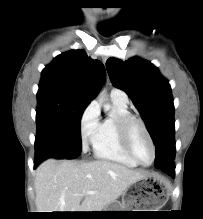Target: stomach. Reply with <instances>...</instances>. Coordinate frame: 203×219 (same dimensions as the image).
<instances>
[{
  "mask_svg": "<svg viewBox=\"0 0 203 219\" xmlns=\"http://www.w3.org/2000/svg\"><path fill=\"white\" fill-rule=\"evenodd\" d=\"M168 196L166 183L156 176L148 174L129 186V189L123 194L122 202H112L102 211H158L166 203ZM101 215L113 214L106 212Z\"/></svg>",
  "mask_w": 203,
  "mask_h": 219,
  "instance_id": "0dacf381",
  "label": "stomach"
}]
</instances>
